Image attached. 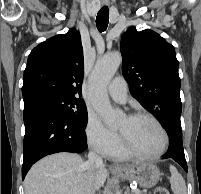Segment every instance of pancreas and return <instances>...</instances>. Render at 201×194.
I'll use <instances>...</instances> for the list:
<instances>
[{
  "mask_svg": "<svg viewBox=\"0 0 201 194\" xmlns=\"http://www.w3.org/2000/svg\"><path fill=\"white\" fill-rule=\"evenodd\" d=\"M132 194H136L135 192H133ZM139 194H147L146 192L145 193H142V192H140Z\"/></svg>",
  "mask_w": 201,
  "mask_h": 194,
  "instance_id": "cf45deb5",
  "label": "pancreas"
}]
</instances>
